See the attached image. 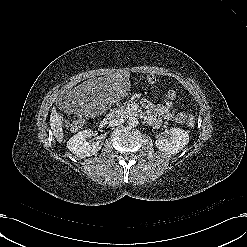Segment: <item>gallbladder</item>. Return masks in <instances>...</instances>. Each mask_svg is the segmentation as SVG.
<instances>
[{
  "instance_id": "gallbladder-1",
  "label": "gallbladder",
  "mask_w": 247,
  "mask_h": 247,
  "mask_svg": "<svg viewBox=\"0 0 247 247\" xmlns=\"http://www.w3.org/2000/svg\"><path fill=\"white\" fill-rule=\"evenodd\" d=\"M69 108H70V107H69V106H67V107L65 108V110H69Z\"/></svg>"
}]
</instances>
